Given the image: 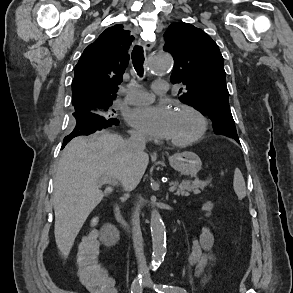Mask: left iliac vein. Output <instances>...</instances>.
Listing matches in <instances>:
<instances>
[{"label": "left iliac vein", "instance_id": "1", "mask_svg": "<svg viewBox=\"0 0 293 293\" xmlns=\"http://www.w3.org/2000/svg\"><path fill=\"white\" fill-rule=\"evenodd\" d=\"M143 284L146 286V287H149L151 289H153V283L151 281V279L149 278V276H146L143 280Z\"/></svg>", "mask_w": 293, "mask_h": 293}]
</instances>
